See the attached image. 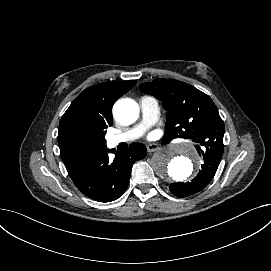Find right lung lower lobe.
<instances>
[{
    "mask_svg": "<svg viewBox=\"0 0 271 271\" xmlns=\"http://www.w3.org/2000/svg\"><path fill=\"white\" fill-rule=\"evenodd\" d=\"M109 152L115 154L114 160L109 159ZM146 154V147L140 143H133L122 152L105 146L95 154L81 156L66 165V169L84 195L98 202H111L125 192L132 165Z\"/></svg>",
    "mask_w": 271,
    "mask_h": 271,
    "instance_id": "right-lung-lower-lobe-1",
    "label": "right lung lower lobe"
}]
</instances>
